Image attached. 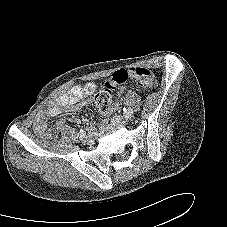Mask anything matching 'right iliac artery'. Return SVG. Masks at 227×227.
Masks as SVG:
<instances>
[{"mask_svg": "<svg viewBox=\"0 0 227 227\" xmlns=\"http://www.w3.org/2000/svg\"><path fill=\"white\" fill-rule=\"evenodd\" d=\"M86 132L84 130H80V132L78 133V137L80 139H82L85 136Z\"/></svg>", "mask_w": 227, "mask_h": 227, "instance_id": "right-iliac-artery-1", "label": "right iliac artery"}]
</instances>
